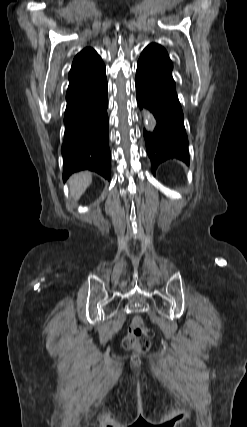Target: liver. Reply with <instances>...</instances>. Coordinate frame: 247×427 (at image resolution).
I'll list each match as a JSON object with an SVG mask.
<instances>
[{"label":"liver","instance_id":"1","mask_svg":"<svg viewBox=\"0 0 247 427\" xmlns=\"http://www.w3.org/2000/svg\"><path fill=\"white\" fill-rule=\"evenodd\" d=\"M92 182L90 172H80L69 178L70 195L78 200Z\"/></svg>","mask_w":247,"mask_h":427}]
</instances>
